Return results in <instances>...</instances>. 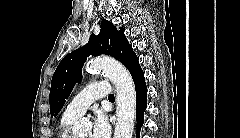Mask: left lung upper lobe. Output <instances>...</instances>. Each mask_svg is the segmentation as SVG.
I'll return each instance as SVG.
<instances>
[{"mask_svg": "<svg viewBox=\"0 0 240 138\" xmlns=\"http://www.w3.org/2000/svg\"><path fill=\"white\" fill-rule=\"evenodd\" d=\"M123 32L124 28L118 31L111 22L104 19L97 36L92 34L85 46L78 48L62 59L51 82L49 101L52 117L59 113L75 83L81 79V69L89 55H111L126 67L128 66L135 53Z\"/></svg>", "mask_w": 240, "mask_h": 138, "instance_id": "obj_1", "label": "left lung upper lobe"}]
</instances>
